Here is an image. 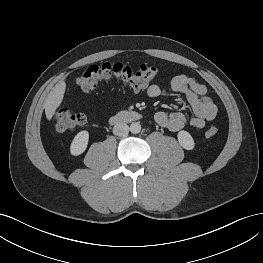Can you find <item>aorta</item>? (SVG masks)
Returning <instances> with one entry per match:
<instances>
[{"instance_id":"762f6f07","label":"aorta","mask_w":263,"mask_h":263,"mask_svg":"<svg viewBox=\"0 0 263 263\" xmlns=\"http://www.w3.org/2000/svg\"><path fill=\"white\" fill-rule=\"evenodd\" d=\"M129 129H130L131 133L138 134L141 131V125L139 122H133V123H131Z\"/></svg>"}]
</instances>
